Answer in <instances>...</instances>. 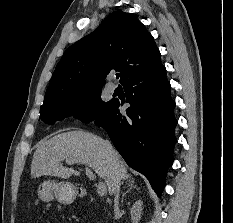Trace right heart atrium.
<instances>
[{
	"label": "right heart atrium",
	"instance_id": "1",
	"mask_svg": "<svg viewBox=\"0 0 233 223\" xmlns=\"http://www.w3.org/2000/svg\"><path fill=\"white\" fill-rule=\"evenodd\" d=\"M88 114H89V107L85 104H82L78 106V108L75 110L74 118L76 120H82L86 118Z\"/></svg>",
	"mask_w": 233,
	"mask_h": 223
}]
</instances>
